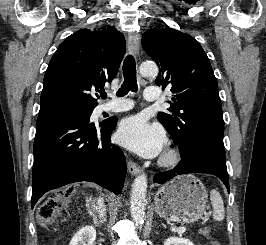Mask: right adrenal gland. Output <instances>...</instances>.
I'll return each mask as SVG.
<instances>
[{"instance_id":"2a0ac1e0","label":"right adrenal gland","mask_w":266,"mask_h":245,"mask_svg":"<svg viewBox=\"0 0 266 245\" xmlns=\"http://www.w3.org/2000/svg\"><path fill=\"white\" fill-rule=\"evenodd\" d=\"M86 201L89 205L88 213H89L90 217H92L95 227H99V225H101V223H104V221H106V217H103V219H102V217H100V219H98V217H96L95 213H96L97 209L95 207V203H96L97 199H92V197H86Z\"/></svg>"}]
</instances>
